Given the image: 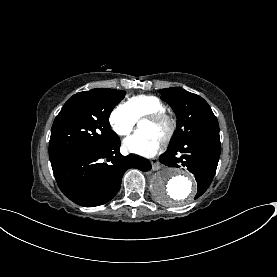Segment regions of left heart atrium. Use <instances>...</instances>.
Listing matches in <instances>:
<instances>
[{"instance_id":"obj_1","label":"left heart atrium","mask_w":277,"mask_h":277,"mask_svg":"<svg viewBox=\"0 0 277 277\" xmlns=\"http://www.w3.org/2000/svg\"><path fill=\"white\" fill-rule=\"evenodd\" d=\"M161 145L160 138L146 131H138L123 142V146L127 150L144 156L153 155Z\"/></svg>"}]
</instances>
